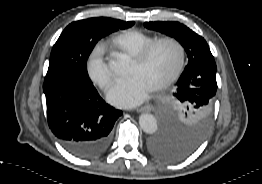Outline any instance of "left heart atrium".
I'll return each mask as SVG.
<instances>
[{
	"instance_id": "left-heart-atrium-1",
	"label": "left heart atrium",
	"mask_w": 262,
	"mask_h": 184,
	"mask_svg": "<svg viewBox=\"0 0 262 184\" xmlns=\"http://www.w3.org/2000/svg\"><path fill=\"white\" fill-rule=\"evenodd\" d=\"M152 87L140 76L118 81L108 92V101L118 107H134L148 99Z\"/></svg>"
}]
</instances>
